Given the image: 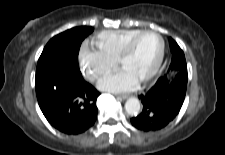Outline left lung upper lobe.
<instances>
[{
  "mask_svg": "<svg viewBox=\"0 0 225 155\" xmlns=\"http://www.w3.org/2000/svg\"><path fill=\"white\" fill-rule=\"evenodd\" d=\"M170 49L172 52V60L170 69L175 70L177 72L174 79L183 81L187 84L188 74H187V64L185 60L184 53L182 49L178 46V44L172 39H169ZM167 79L166 76L159 78V80Z\"/></svg>",
  "mask_w": 225,
  "mask_h": 155,
  "instance_id": "obj_1",
  "label": "left lung upper lobe"
}]
</instances>
